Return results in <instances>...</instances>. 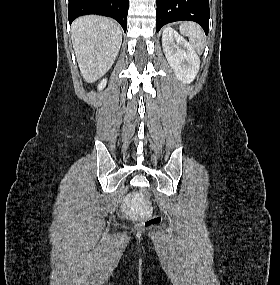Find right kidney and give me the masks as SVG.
<instances>
[{
  "label": "right kidney",
  "mask_w": 280,
  "mask_h": 285,
  "mask_svg": "<svg viewBox=\"0 0 280 285\" xmlns=\"http://www.w3.org/2000/svg\"><path fill=\"white\" fill-rule=\"evenodd\" d=\"M106 82L107 80L106 79H103L100 84L98 85V89L99 90H102L105 86H106Z\"/></svg>",
  "instance_id": "right-kidney-1"
}]
</instances>
